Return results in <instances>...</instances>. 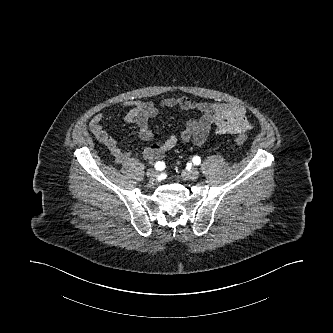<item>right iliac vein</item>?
Masks as SVG:
<instances>
[{
	"label": "right iliac vein",
	"mask_w": 333,
	"mask_h": 333,
	"mask_svg": "<svg viewBox=\"0 0 333 333\" xmlns=\"http://www.w3.org/2000/svg\"><path fill=\"white\" fill-rule=\"evenodd\" d=\"M146 174L151 180H155L158 176V172L153 168L148 169Z\"/></svg>",
	"instance_id": "1"
}]
</instances>
